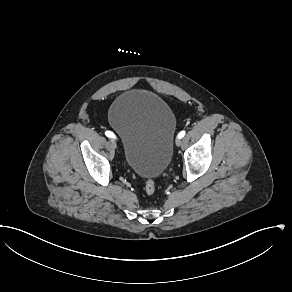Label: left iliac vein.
<instances>
[{"mask_svg":"<svg viewBox=\"0 0 292 292\" xmlns=\"http://www.w3.org/2000/svg\"><path fill=\"white\" fill-rule=\"evenodd\" d=\"M175 143H176V145H177V146H180V145H181V143H182V141H181V139H180V138H177Z\"/></svg>","mask_w":292,"mask_h":292,"instance_id":"obj_1","label":"left iliac vein"}]
</instances>
